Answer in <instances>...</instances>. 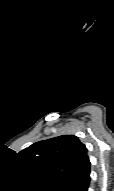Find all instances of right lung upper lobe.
I'll return each instance as SVG.
<instances>
[{"mask_svg": "<svg viewBox=\"0 0 114 191\" xmlns=\"http://www.w3.org/2000/svg\"><path fill=\"white\" fill-rule=\"evenodd\" d=\"M18 157L43 189L90 175L87 149L74 135L36 142L19 152Z\"/></svg>", "mask_w": 114, "mask_h": 191, "instance_id": "right-lung-upper-lobe-1", "label": "right lung upper lobe"}]
</instances>
